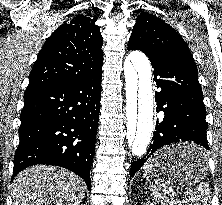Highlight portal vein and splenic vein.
Instances as JSON below:
<instances>
[{
  "label": "portal vein and splenic vein",
  "instance_id": "obj_1",
  "mask_svg": "<svg viewBox=\"0 0 222 205\" xmlns=\"http://www.w3.org/2000/svg\"><path fill=\"white\" fill-rule=\"evenodd\" d=\"M168 193L172 196H176V192L172 188L168 189Z\"/></svg>",
  "mask_w": 222,
  "mask_h": 205
}]
</instances>
